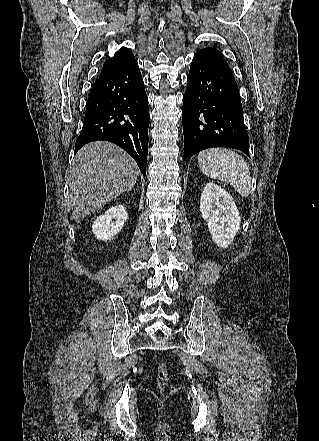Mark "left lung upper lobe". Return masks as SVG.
Wrapping results in <instances>:
<instances>
[{"label": "left lung upper lobe", "instance_id": "obj_1", "mask_svg": "<svg viewBox=\"0 0 319 441\" xmlns=\"http://www.w3.org/2000/svg\"><path fill=\"white\" fill-rule=\"evenodd\" d=\"M197 53L203 54L211 60L218 62L219 64L226 67H229V65L223 60L222 53L215 48L201 49Z\"/></svg>", "mask_w": 319, "mask_h": 441}]
</instances>
